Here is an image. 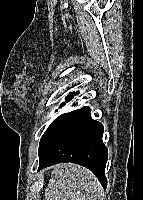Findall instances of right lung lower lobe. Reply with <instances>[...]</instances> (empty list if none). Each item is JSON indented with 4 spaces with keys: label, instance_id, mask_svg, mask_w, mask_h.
Segmentation results:
<instances>
[{
    "label": "right lung lower lobe",
    "instance_id": "98d812e1",
    "mask_svg": "<svg viewBox=\"0 0 143 200\" xmlns=\"http://www.w3.org/2000/svg\"><path fill=\"white\" fill-rule=\"evenodd\" d=\"M72 97L73 94L68 95L66 101ZM102 135L103 125L91 118L88 107L59 116L41 138L38 170L61 162H73L90 169L106 188L108 151Z\"/></svg>",
    "mask_w": 143,
    "mask_h": 200
}]
</instances>
